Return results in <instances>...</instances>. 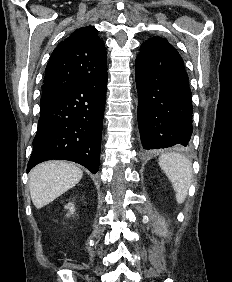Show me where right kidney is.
Returning <instances> with one entry per match:
<instances>
[{"label": "right kidney", "instance_id": "right-kidney-1", "mask_svg": "<svg viewBox=\"0 0 232 282\" xmlns=\"http://www.w3.org/2000/svg\"><path fill=\"white\" fill-rule=\"evenodd\" d=\"M65 208H66V209H69V211H70L71 214H73V212L75 211V210H74V204H72V203H69ZM69 215H70V214H68V216H69Z\"/></svg>", "mask_w": 232, "mask_h": 282}]
</instances>
